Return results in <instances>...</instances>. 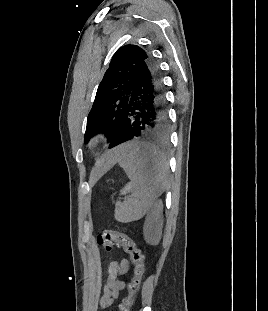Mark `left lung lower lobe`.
<instances>
[{
  "label": "left lung lower lobe",
  "mask_w": 268,
  "mask_h": 311,
  "mask_svg": "<svg viewBox=\"0 0 268 311\" xmlns=\"http://www.w3.org/2000/svg\"><path fill=\"white\" fill-rule=\"evenodd\" d=\"M165 102L160 68L150 56L138 69L124 119L109 148L124 140L166 141L169 122Z\"/></svg>",
  "instance_id": "1"
}]
</instances>
